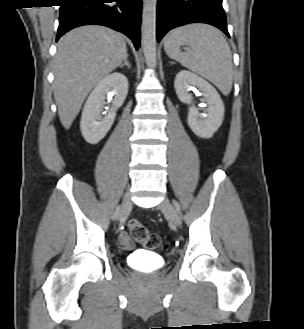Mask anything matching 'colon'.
<instances>
[{
  "label": "colon",
  "instance_id": "5ec220e1",
  "mask_svg": "<svg viewBox=\"0 0 304 329\" xmlns=\"http://www.w3.org/2000/svg\"><path fill=\"white\" fill-rule=\"evenodd\" d=\"M128 229L131 237L138 243L150 250L166 249L167 244L157 233H152L146 226L137 220H131L128 223Z\"/></svg>",
  "mask_w": 304,
  "mask_h": 329
}]
</instances>
